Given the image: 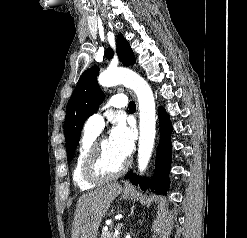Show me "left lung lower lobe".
Returning <instances> with one entry per match:
<instances>
[{"label":"left lung lower lobe","mask_w":247,"mask_h":238,"mask_svg":"<svg viewBox=\"0 0 247 238\" xmlns=\"http://www.w3.org/2000/svg\"><path fill=\"white\" fill-rule=\"evenodd\" d=\"M160 119V141L158 145L157 157H156V170L155 176L151 181L138 177L133 171H130L125 179H130L135 185L145 190L151 187L155 191L165 192L169 189L170 180L168 174L171 166V142L170 136L172 132V126L169 120V116L163 108H159Z\"/></svg>","instance_id":"0a47b994"}]
</instances>
